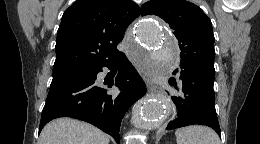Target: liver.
<instances>
[{"label":"liver","instance_id":"liver-1","mask_svg":"<svg viewBox=\"0 0 260 144\" xmlns=\"http://www.w3.org/2000/svg\"><path fill=\"white\" fill-rule=\"evenodd\" d=\"M38 144H109V136L88 123L64 117L42 129Z\"/></svg>","mask_w":260,"mask_h":144}]
</instances>
